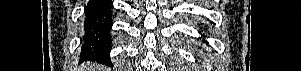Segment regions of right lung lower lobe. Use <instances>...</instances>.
<instances>
[{"instance_id": "right-lung-lower-lobe-1", "label": "right lung lower lobe", "mask_w": 301, "mask_h": 71, "mask_svg": "<svg viewBox=\"0 0 301 71\" xmlns=\"http://www.w3.org/2000/svg\"><path fill=\"white\" fill-rule=\"evenodd\" d=\"M112 9L111 0H90L87 3L81 59L110 62Z\"/></svg>"}]
</instances>
